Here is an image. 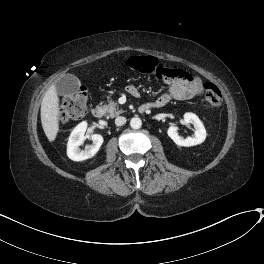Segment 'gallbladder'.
I'll list each match as a JSON object with an SVG mask.
<instances>
[{
  "instance_id": "bac80fb5",
  "label": "gallbladder",
  "mask_w": 264,
  "mask_h": 264,
  "mask_svg": "<svg viewBox=\"0 0 264 264\" xmlns=\"http://www.w3.org/2000/svg\"><path fill=\"white\" fill-rule=\"evenodd\" d=\"M79 87V79L72 74L63 76L56 83L57 92L63 95L75 94L79 91Z\"/></svg>"
}]
</instances>
